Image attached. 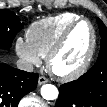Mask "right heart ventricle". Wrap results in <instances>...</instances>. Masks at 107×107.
I'll use <instances>...</instances> for the list:
<instances>
[{"mask_svg": "<svg viewBox=\"0 0 107 107\" xmlns=\"http://www.w3.org/2000/svg\"><path fill=\"white\" fill-rule=\"evenodd\" d=\"M78 18L74 13H62L35 21L28 27L26 39L41 57H46L65 28Z\"/></svg>", "mask_w": 107, "mask_h": 107, "instance_id": "e07e8e85", "label": "right heart ventricle"}]
</instances>
